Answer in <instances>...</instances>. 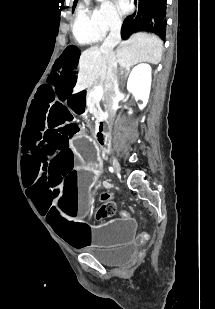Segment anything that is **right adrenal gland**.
<instances>
[{
  "label": "right adrenal gland",
  "mask_w": 215,
  "mask_h": 309,
  "mask_svg": "<svg viewBox=\"0 0 215 309\" xmlns=\"http://www.w3.org/2000/svg\"><path fill=\"white\" fill-rule=\"evenodd\" d=\"M120 74H125V76H127L128 72H130V68H124L123 70V66H120Z\"/></svg>",
  "instance_id": "right-adrenal-gland-1"
}]
</instances>
